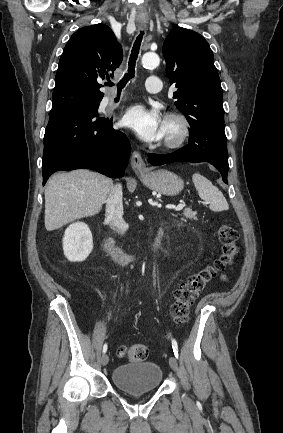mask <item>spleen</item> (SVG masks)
<instances>
[{"instance_id":"3e777b00","label":"spleen","mask_w":283,"mask_h":433,"mask_svg":"<svg viewBox=\"0 0 283 433\" xmlns=\"http://www.w3.org/2000/svg\"><path fill=\"white\" fill-rule=\"evenodd\" d=\"M192 180L200 198L209 200L211 210H215V212L228 210L229 204L224 194H222L217 186L212 184L211 180H208V178L202 176V174H198V172H194Z\"/></svg>"}]
</instances>
